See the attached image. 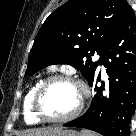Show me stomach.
Segmentation results:
<instances>
[{
	"label": "stomach",
	"instance_id": "obj_1",
	"mask_svg": "<svg viewBox=\"0 0 136 136\" xmlns=\"http://www.w3.org/2000/svg\"><path fill=\"white\" fill-rule=\"evenodd\" d=\"M51 136H81L78 132L74 130H59L52 134Z\"/></svg>",
	"mask_w": 136,
	"mask_h": 136
}]
</instances>
